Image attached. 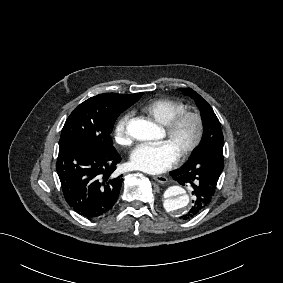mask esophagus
<instances>
[{
  "mask_svg": "<svg viewBox=\"0 0 283 283\" xmlns=\"http://www.w3.org/2000/svg\"><path fill=\"white\" fill-rule=\"evenodd\" d=\"M153 179L155 181H157L158 183H161V184H165L168 182V178L166 176H162V175H155L153 176Z\"/></svg>",
  "mask_w": 283,
  "mask_h": 283,
  "instance_id": "1",
  "label": "esophagus"
}]
</instances>
